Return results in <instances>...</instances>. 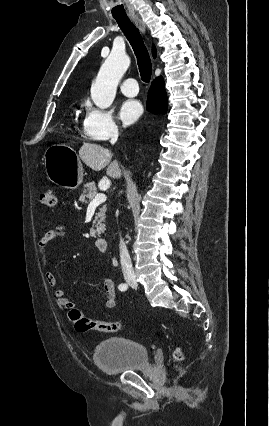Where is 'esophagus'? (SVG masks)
Returning <instances> with one entry per match:
<instances>
[{
	"mask_svg": "<svg viewBox=\"0 0 269 426\" xmlns=\"http://www.w3.org/2000/svg\"><path fill=\"white\" fill-rule=\"evenodd\" d=\"M132 20L134 21V23L136 24V26L140 29V31L142 33H145V26L142 23V21L140 20V18L138 16H133Z\"/></svg>",
	"mask_w": 269,
	"mask_h": 426,
	"instance_id": "1",
	"label": "esophagus"
}]
</instances>
